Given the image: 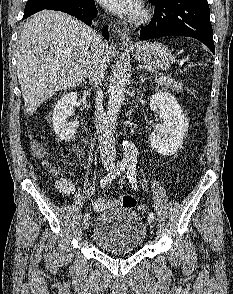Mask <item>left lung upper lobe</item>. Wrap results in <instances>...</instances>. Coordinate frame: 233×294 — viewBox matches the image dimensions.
<instances>
[{"label":"left lung upper lobe","instance_id":"obj_1","mask_svg":"<svg viewBox=\"0 0 233 294\" xmlns=\"http://www.w3.org/2000/svg\"><path fill=\"white\" fill-rule=\"evenodd\" d=\"M150 2H153V1H155V0H149Z\"/></svg>","mask_w":233,"mask_h":294}]
</instances>
